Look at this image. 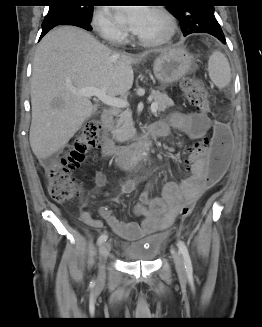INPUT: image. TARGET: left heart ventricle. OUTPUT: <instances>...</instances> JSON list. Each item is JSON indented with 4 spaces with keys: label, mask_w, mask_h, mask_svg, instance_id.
<instances>
[{
    "label": "left heart ventricle",
    "mask_w": 262,
    "mask_h": 327,
    "mask_svg": "<svg viewBox=\"0 0 262 327\" xmlns=\"http://www.w3.org/2000/svg\"><path fill=\"white\" fill-rule=\"evenodd\" d=\"M166 30L167 27L162 18L150 11L137 34L145 38H159L166 33Z\"/></svg>",
    "instance_id": "obj_1"
}]
</instances>
